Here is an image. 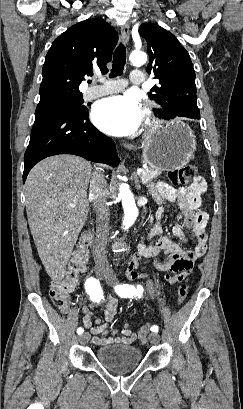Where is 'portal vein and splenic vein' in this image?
Masks as SVG:
<instances>
[{
    "mask_svg": "<svg viewBox=\"0 0 243 409\" xmlns=\"http://www.w3.org/2000/svg\"><path fill=\"white\" fill-rule=\"evenodd\" d=\"M142 173H143V169H142V168L137 169V175H138V176H140Z\"/></svg>",
    "mask_w": 243,
    "mask_h": 409,
    "instance_id": "portal-vein-and-splenic-vein-1",
    "label": "portal vein and splenic vein"
}]
</instances>
